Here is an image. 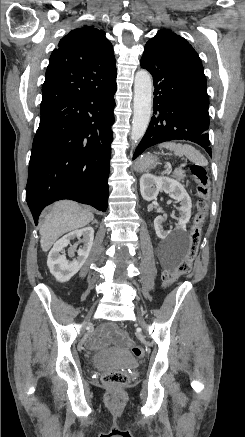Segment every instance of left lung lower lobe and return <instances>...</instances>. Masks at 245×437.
I'll return each instance as SVG.
<instances>
[{"label": "left lung lower lobe", "instance_id": "1", "mask_svg": "<svg viewBox=\"0 0 245 437\" xmlns=\"http://www.w3.org/2000/svg\"><path fill=\"white\" fill-rule=\"evenodd\" d=\"M141 67L153 77L154 113L133 160L153 145L177 139L195 142L211 155L206 78L149 50Z\"/></svg>", "mask_w": 245, "mask_h": 437}]
</instances>
